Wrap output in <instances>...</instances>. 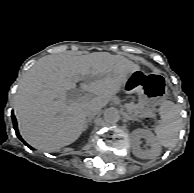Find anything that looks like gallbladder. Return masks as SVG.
Listing matches in <instances>:
<instances>
[{"mask_svg": "<svg viewBox=\"0 0 194 193\" xmlns=\"http://www.w3.org/2000/svg\"><path fill=\"white\" fill-rule=\"evenodd\" d=\"M71 92H72V90L68 91V93H71Z\"/></svg>", "mask_w": 194, "mask_h": 193, "instance_id": "gallbladder-1", "label": "gallbladder"}]
</instances>
